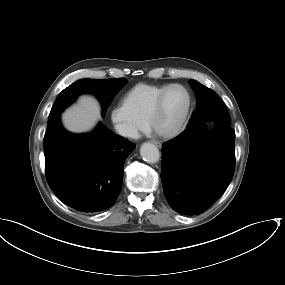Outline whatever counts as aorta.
<instances>
[{
	"label": "aorta",
	"instance_id": "obj_1",
	"mask_svg": "<svg viewBox=\"0 0 285 285\" xmlns=\"http://www.w3.org/2000/svg\"><path fill=\"white\" fill-rule=\"evenodd\" d=\"M140 155L144 161L150 164L157 163L160 159L158 148L149 142H145L141 145Z\"/></svg>",
	"mask_w": 285,
	"mask_h": 285
}]
</instances>
